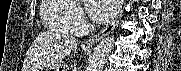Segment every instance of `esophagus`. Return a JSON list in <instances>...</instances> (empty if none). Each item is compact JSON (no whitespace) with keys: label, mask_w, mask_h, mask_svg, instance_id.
Here are the masks:
<instances>
[{"label":"esophagus","mask_w":181,"mask_h":71,"mask_svg":"<svg viewBox=\"0 0 181 71\" xmlns=\"http://www.w3.org/2000/svg\"><path fill=\"white\" fill-rule=\"evenodd\" d=\"M123 15L122 6H120L116 17L113 19L111 23H109L106 27H104L98 34L94 35L93 37L89 38L86 41V45L88 47H93L97 45L106 35H108L119 23Z\"/></svg>","instance_id":"obj_1"}]
</instances>
